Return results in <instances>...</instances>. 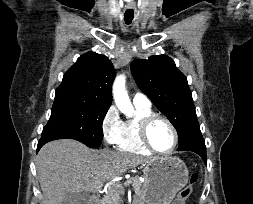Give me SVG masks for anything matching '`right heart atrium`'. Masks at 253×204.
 <instances>
[{
  "label": "right heart atrium",
  "instance_id": "obj_1",
  "mask_svg": "<svg viewBox=\"0 0 253 204\" xmlns=\"http://www.w3.org/2000/svg\"><path fill=\"white\" fill-rule=\"evenodd\" d=\"M123 121L118 110L111 106L105 112L101 121V132L104 141L109 145H115L121 135Z\"/></svg>",
  "mask_w": 253,
  "mask_h": 204
}]
</instances>
